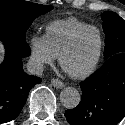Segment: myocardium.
<instances>
[{
    "label": "myocardium",
    "mask_w": 125,
    "mask_h": 125,
    "mask_svg": "<svg viewBox=\"0 0 125 125\" xmlns=\"http://www.w3.org/2000/svg\"><path fill=\"white\" fill-rule=\"evenodd\" d=\"M87 30H95L98 33L99 36V48L97 51V54L94 58V60L92 61V63L82 72L79 73H70L68 71L65 70L64 66H63V60L65 55L70 51V49L73 47V45L75 44L76 40L78 39V37L85 31ZM103 46H104V40H103V34L101 32V30L94 26V25H87L79 30H77L70 38L69 40L65 43V45L62 47V49L60 50V53L58 55V61L60 66L67 72V74L75 79H83L88 77L89 75H91L94 70L96 69L102 52H103Z\"/></svg>",
    "instance_id": "obj_1"
}]
</instances>
